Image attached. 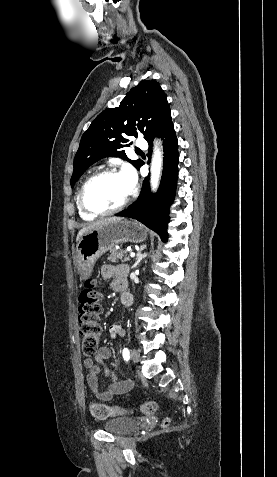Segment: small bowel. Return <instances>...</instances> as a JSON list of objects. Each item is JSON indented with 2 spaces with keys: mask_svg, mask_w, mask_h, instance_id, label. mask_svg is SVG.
Returning <instances> with one entry per match:
<instances>
[{
  "mask_svg": "<svg viewBox=\"0 0 277 477\" xmlns=\"http://www.w3.org/2000/svg\"><path fill=\"white\" fill-rule=\"evenodd\" d=\"M128 266L124 264L112 265L104 264L101 267V275L106 280H111L112 287L121 293V296L125 294L127 286V274ZM111 338L115 339L125 334L124 329L118 325L113 324L109 329ZM110 348L103 346L100 347L93 357H88L84 360V367L87 369L88 374L86 377L88 388L91 394L100 400H110L116 395L124 394L132 388V382L130 380L122 379L115 369H109L105 367L103 369V375L105 377H112V382L107 386L105 390H102L99 386L98 377L101 373L100 363L110 359Z\"/></svg>",
  "mask_w": 277,
  "mask_h": 477,
  "instance_id": "obj_1",
  "label": "small bowel"
}]
</instances>
